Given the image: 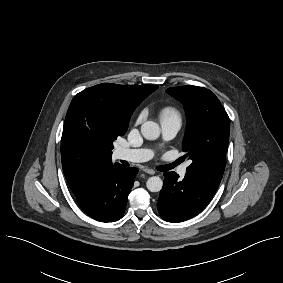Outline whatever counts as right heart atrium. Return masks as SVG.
Instances as JSON below:
<instances>
[{
    "mask_svg": "<svg viewBox=\"0 0 283 283\" xmlns=\"http://www.w3.org/2000/svg\"><path fill=\"white\" fill-rule=\"evenodd\" d=\"M142 114H140L138 117H137V120H136V122L137 123H140L141 121H142Z\"/></svg>",
    "mask_w": 283,
    "mask_h": 283,
    "instance_id": "right-heart-atrium-1",
    "label": "right heart atrium"
}]
</instances>
